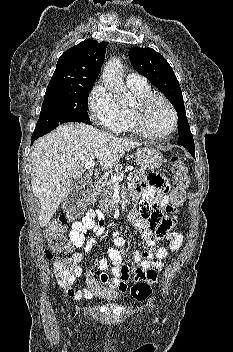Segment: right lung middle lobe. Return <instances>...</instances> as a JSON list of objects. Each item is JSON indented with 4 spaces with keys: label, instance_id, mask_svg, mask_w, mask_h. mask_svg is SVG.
Masks as SVG:
<instances>
[{
    "label": "right lung middle lobe",
    "instance_id": "obj_1",
    "mask_svg": "<svg viewBox=\"0 0 233 352\" xmlns=\"http://www.w3.org/2000/svg\"><path fill=\"white\" fill-rule=\"evenodd\" d=\"M92 87L47 88L35 129L71 119L90 120L87 107Z\"/></svg>",
    "mask_w": 233,
    "mask_h": 352
}]
</instances>
